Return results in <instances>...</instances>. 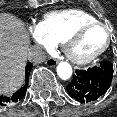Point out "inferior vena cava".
I'll use <instances>...</instances> for the list:
<instances>
[{"instance_id": "inferior-vena-cava-1", "label": "inferior vena cava", "mask_w": 117, "mask_h": 117, "mask_svg": "<svg viewBox=\"0 0 117 117\" xmlns=\"http://www.w3.org/2000/svg\"><path fill=\"white\" fill-rule=\"evenodd\" d=\"M46 52L40 46H32L27 52V58L34 63H42L46 60Z\"/></svg>"}]
</instances>
